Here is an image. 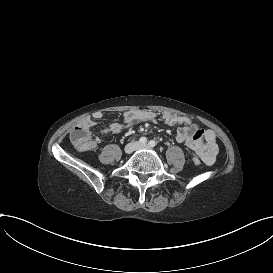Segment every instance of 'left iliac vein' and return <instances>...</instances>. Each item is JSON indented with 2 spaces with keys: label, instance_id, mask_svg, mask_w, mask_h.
<instances>
[{
  "label": "left iliac vein",
  "instance_id": "1",
  "mask_svg": "<svg viewBox=\"0 0 273 273\" xmlns=\"http://www.w3.org/2000/svg\"><path fill=\"white\" fill-rule=\"evenodd\" d=\"M140 149H148V150H150L151 148L147 144H141V145L138 146V148H136V150H140Z\"/></svg>",
  "mask_w": 273,
  "mask_h": 273
}]
</instances>
